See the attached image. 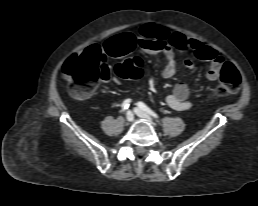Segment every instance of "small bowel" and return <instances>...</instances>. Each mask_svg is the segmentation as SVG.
<instances>
[{
	"label": "small bowel",
	"instance_id": "small-bowel-1",
	"mask_svg": "<svg viewBox=\"0 0 258 206\" xmlns=\"http://www.w3.org/2000/svg\"><path fill=\"white\" fill-rule=\"evenodd\" d=\"M136 43L141 49L149 54H162L165 64L162 68V76L171 78L176 73V52L191 53V57H187L184 64L187 68L194 67V59L208 61L210 66L207 71V78L215 81L219 79L221 69L224 65L223 57L215 49L204 45L202 42L186 38L181 33H170L166 29L157 27H143L137 35L132 33H120L108 39L104 45H91L89 48H97L103 54L112 57H121L133 48ZM115 84L119 83L118 79H113ZM189 98V87L186 83H177L171 94L166 97V103L169 107L177 111H185L192 107Z\"/></svg>",
	"mask_w": 258,
	"mask_h": 206
}]
</instances>
